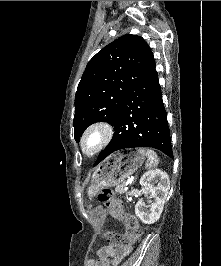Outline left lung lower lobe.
Returning a JSON list of instances; mask_svg holds the SVG:
<instances>
[{
    "label": "left lung lower lobe",
    "mask_w": 221,
    "mask_h": 266,
    "mask_svg": "<svg viewBox=\"0 0 221 266\" xmlns=\"http://www.w3.org/2000/svg\"><path fill=\"white\" fill-rule=\"evenodd\" d=\"M113 126L114 136L100 152L94 166L114 152L135 147H152L173 158L167 114L156 70L132 87Z\"/></svg>",
    "instance_id": "0a47b994"
}]
</instances>
